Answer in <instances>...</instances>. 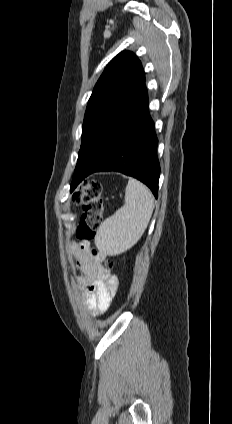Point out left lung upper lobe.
<instances>
[{
    "label": "left lung upper lobe",
    "mask_w": 232,
    "mask_h": 424,
    "mask_svg": "<svg viewBox=\"0 0 232 424\" xmlns=\"http://www.w3.org/2000/svg\"><path fill=\"white\" fill-rule=\"evenodd\" d=\"M144 83L142 65L132 52H121L110 61L88 101L82 127V143L74 174L83 169L89 150L99 134Z\"/></svg>",
    "instance_id": "1"
}]
</instances>
